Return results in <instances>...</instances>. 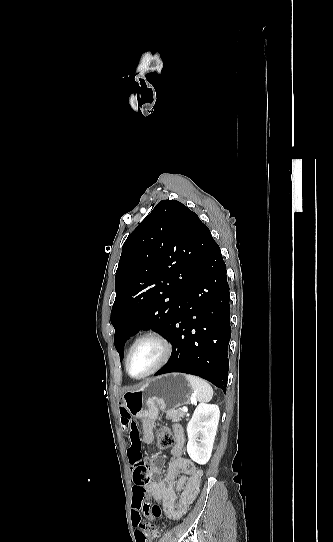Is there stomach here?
<instances>
[{
    "label": "stomach",
    "mask_w": 333,
    "mask_h": 542,
    "mask_svg": "<svg viewBox=\"0 0 333 542\" xmlns=\"http://www.w3.org/2000/svg\"><path fill=\"white\" fill-rule=\"evenodd\" d=\"M191 396V386L184 374H164L151 378L138 390L125 392L122 402L134 418L156 422L160 410L168 412L186 406Z\"/></svg>",
    "instance_id": "0dacf381"
}]
</instances>
